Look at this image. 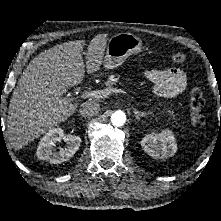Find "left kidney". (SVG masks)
I'll use <instances>...</instances> for the list:
<instances>
[{
    "mask_svg": "<svg viewBox=\"0 0 221 221\" xmlns=\"http://www.w3.org/2000/svg\"><path fill=\"white\" fill-rule=\"evenodd\" d=\"M141 146L148 155L157 159L172 157L177 152L175 137L170 129L146 135L141 141Z\"/></svg>",
    "mask_w": 221,
    "mask_h": 221,
    "instance_id": "1",
    "label": "left kidney"
}]
</instances>
